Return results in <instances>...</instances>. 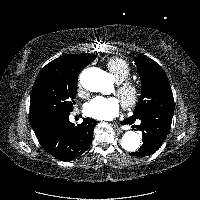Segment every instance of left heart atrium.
<instances>
[{
	"instance_id": "obj_1",
	"label": "left heart atrium",
	"mask_w": 200,
	"mask_h": 200,
	"mask_svg": "<svg viewBox=\"0 0 200 200\" xmlns=\"http://www.w3.org/2000/svg\"><path fill=\"white\" fill-rule=\"evenodd\" d=\"M121 109L119 100L115 97H95L85 106V113L97 120H112Z\"/></svg>"
}]
</instances>
